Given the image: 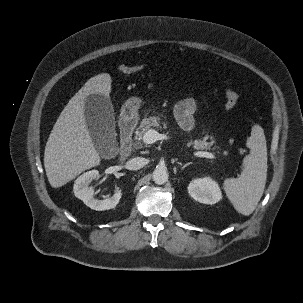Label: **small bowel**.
<instances>
[{
    "label": "small bowel",
    "instance_id": "obj_1",
    "mask_svg": "<svg viewBox=\"0 0 303 303\" xmlns=\"http://www.w3.org/2000/svg\"><path fill=\"white\" fill-rule=\"evenodd\" d=\"M196 109V102L191 98L182 100L175 106V117L181 128L186 131H191L194 128V114Z\"/></svg>",
    "mask_w": 303,
    "mask_h": 303
}]
</instances>
